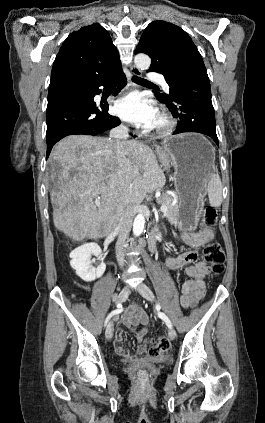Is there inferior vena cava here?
Here are the masks:
<instances>
[{"instance_id": "inferior-vena-cava-1", "label": "inferior vena cava", "mask_w": 265, "mask_h": 423, "mask_svg": "<svg viewBox=\"0 0 265 423\" xmlns=\"http://www.w3.org/2000/svg\"><path fill=\"white\" fill-rule=\"evenodd\" d=\"M129 137V129L125 125H119L115 128H113L110 131V138L111 142L115 144L117 147V153L119 158L123 157V151L124 146L127 142V139ZM134 216V205L128 203L120 217V230L118 239L116 242L115 250H116V258L118 261V264L122 267L124 265V253L123 248L125 245V240L129 235V232L132 227V221Z\"/></svg>"}]
</instances>
